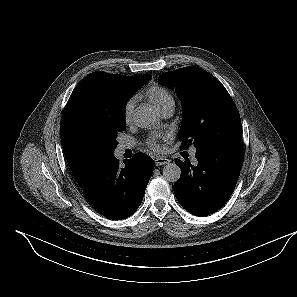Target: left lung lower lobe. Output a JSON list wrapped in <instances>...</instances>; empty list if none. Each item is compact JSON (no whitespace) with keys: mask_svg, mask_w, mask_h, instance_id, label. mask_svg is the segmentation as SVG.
I'll return each mask as SVG.
<instances>
[{"mask_svg":"<svg viewBox=\"0 0 297 297\" xmlns=\"http://www.w3.org/2000/svg\"><path fill=\"white\" fill-rule=\"evenodd\" d=\"M242 137L236 136L196 152L197 166L176 160L181 177L174 193L181 206L195 216L218 211L231 196L242 166Z\"/></svg>","mask_w":297,"mask_h":297,"instance_id":"0a47b994","label":"left lung lower lobe"}]
</instances>
